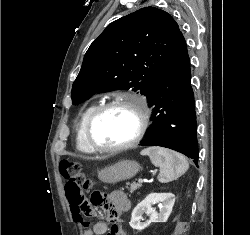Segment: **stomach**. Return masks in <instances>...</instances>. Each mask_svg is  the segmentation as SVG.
Segmentation results:
<instances>
[{
  "mask_svg": "<svg viewBox=\"0 0 250 235\" xmlns=\"http://www.w3.org/2000/svg\"><path fill=\"white\" fill-rule=\"evenodd\" d=\"M139 170L140 165L136 161L122 160L100 170L98 178L104 183L115 184L134 177Z\"/></svg>",
  "mask_w": 250,
  "mask_h": 235,
  "instance_id": "obj_1",
  "label": "stomach"
}]
</instances>
